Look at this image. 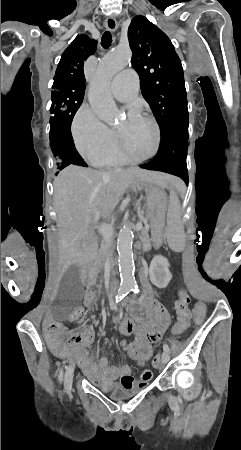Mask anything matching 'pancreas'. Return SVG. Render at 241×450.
<instances>
[{
    "label": "pancreas",
    "instance_id": "pancreas-1",
    "mask_svg": "<svg viewBox=\"0 0 241 450\" xmlns=\"http://www.w3.org/2000/svg\"><path fill=\"white\" fill-rule=\"evenodd\" d=\"M142 232L141 233V238L140 241L143 243L144 246H147V250H152V241L153 238L151 236H149L148 233V227H142ZM112 246H113V240L111 238V240H102L101 244H100V248L98 250V254H97V264H99V268H104L107 260H111L110 256H112L113 252H112ZM95 274H96V270H94V272H90V282H89V286H94V284H96V280H95Z\"/></svg>",
    "mask_w": 241,
    "mask_h": 450
}]
</instances>
